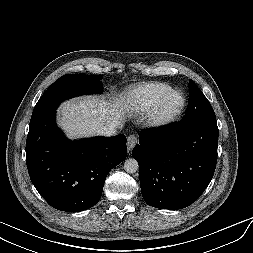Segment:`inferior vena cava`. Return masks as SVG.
I'll return each mask as SVG.
<instances>
[{"label": "inferior vena cava", "mask_w": 253, "mask_h": 253, "mask_svg": "<svg viewBox=\"0 0 253 253\" xmlns=\"http://www.w3.org/2000/svg\"><path fill=\"white\" fill-rule=\"evenodd\" d=\"M116 128L115 124H108L99 128L97 133L102 136H113L116 134Z\"/></svg>", "instance_id": "inferior-vena-cava-1"}]
</instances>
